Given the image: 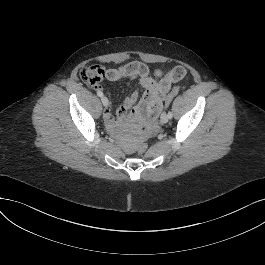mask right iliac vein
Wrapping results in <instances>:
<instances>
[{"label": "right iliac vein", "instance_id": "obj_1", "mask_svg": "<svg viewBox=\"0 0 265 265\" xmlns=\"http://www.w3.org/2000/svg\"><path fill=\"white\" fill-rule=\"evenodd\" d=\"M102 104L107 107L109 105V100L106 97L101 98Z\"/></svg>", "mask_w": 265, "mask_h": 265}]
</instances>
